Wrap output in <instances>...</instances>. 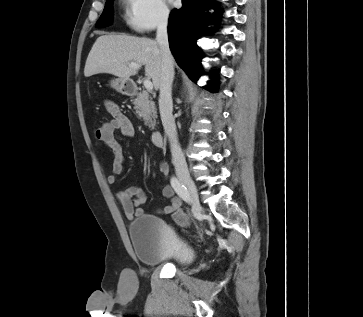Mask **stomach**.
<instances>
[{
  "label": "stomach",
  "instance_id": "1",
  "mask_svg": "<svg viewBox=\"0 0 363 317\" xmlns=\"http://www.w3.org/2000/svg\"><path fill=\"white\" fill-rule=\"evenodd\" d=\"M110 85L119 93L130 94L131 92V82L129 79L115 78L110 81Z\"/></svg>",
  "mask_w": 363,
  "mask_h": 317
}]
</instances>
